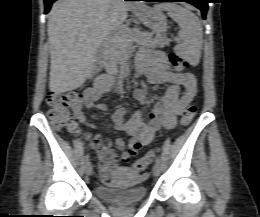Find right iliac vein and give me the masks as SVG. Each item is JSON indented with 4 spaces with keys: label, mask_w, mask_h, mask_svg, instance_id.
<instances>
[{
    "label": "right iliac vein",
    "mask_w": 260,
    "mask_h": 217,
    "mask_svg": "<svg viewBox=\"0 0 260 217\" xmlns=\"http://www.w3.org/2000/svg\"><path fill=\"white\" fill-rule=\"evenodd\" d=\"M85 172L87 175L92 174V165L89 162L85 165Z\"/></svg>",
    "instance_id": "1"
}]
</instances>
